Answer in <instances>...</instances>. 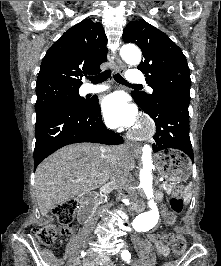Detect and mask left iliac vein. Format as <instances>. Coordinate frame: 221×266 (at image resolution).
I'll return each mask as SVG.
<instances>
[{"instance_id": "obj_1", "label": "left iliac vein", "mask_w": 221, "mask_h": 266, "mask_svg": "<svg viewBox=\"0 0 221 266\" xmlns=\"http://www.w3.org/2000/svg\"><path fill=\"white\" fill-rule=\"evenodd\" d=\"M133 266H142L141 262L137 258L132 259Z\"/></svg>"}]
</instances>
